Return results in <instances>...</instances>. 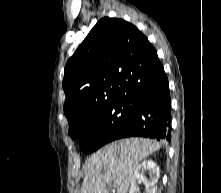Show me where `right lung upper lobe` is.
<instances>
[{
  "mask_svg": "<svg viewBox=\"0 0 221 193\" xmlns=\"http://www.w3.org/2000/svg\"><path fill=\"white\" fill-rule=\"evenodd\" d=\"M160 65L155 48L137 27L122 19H101L65 67L69 130L114 101L134 99Z\"/></svg>",
  "mask_w": 221,
  "mask_h": 193,
  "instance_id": "right-lung-upper-lobe-1",
  "label": "right lung upper lobe"
}]
</instances>
